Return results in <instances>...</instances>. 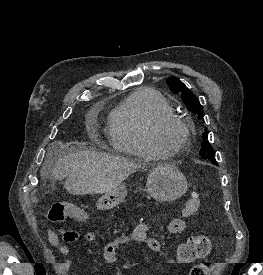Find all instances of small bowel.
<instances>
[{"mask_svg":"<svg viewBox=\"0 0 263 275\" xmlns=\"http://www.w3.org/2000/svg\"><path fill=\"white\" fill-rule=\"evenodd\" d=\"M186 222L180 218L172 219L167 229L172 234H178L185 230ZM149 224L146 222L139 223L134 230L128 235H121L110 242H108L103 250V259L105 263H115L121 251L129 245H141L145 244L151 251L160 252L161 245L159 241L148 235ZM46 235L49 244L56 249L63 257L64 260L59 263V269L66 272L72 266V259L70 257V250L67 243H73L80 239L86 242H93L98 238V233L96 231H87L83 235L74 230H64L62 231L61 237L54 232L52 229L46 230ZM173 263V260H169Z\"/></svg>","mask_w":263,"mask_h":275,"instance_id":"1","label":"small bowel"}]
</instances>
